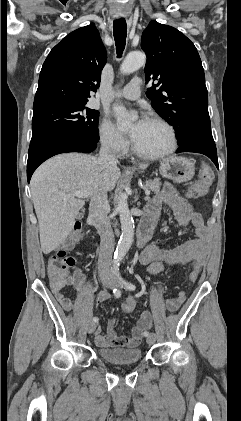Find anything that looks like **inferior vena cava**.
<instances>
[{
    "mask_svg": "<svg viewBox=\"0 0 241 421\" xmlns=\"http://www.w3.org/2000/svg\"><path fill=\"white\" fill-rule=\"evenodd\" d=\"M98 159L103 166H115L118 163L116 156L106 143L101 145ZM108 213L107 192L103 191L91 199L89 206V218L93 221L101 239L98 259L100 277H112L111 264L114 251V234Z\"/></svg>",
    "mask_w": 241,
    "mask_h": 421,
    "instance_id": "602c4592",
    "label": "inferior vena cava"
}]
</instances>
